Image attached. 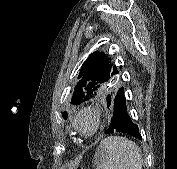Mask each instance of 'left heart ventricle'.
<instances>
[{
	"instance_id": "obj_1",
	"label": "left heart ventricle",
	"mask_w": 177,
	"mask_h": 169,
	"mask_svg": "<svg viewBox=\"0 0 177 169\" xmlns=\"http://www.w3.org/2000/svg\"><path fill=\"white\" fill-rule=\"evenodd\" d=\"M80 125H81L82 129L86 130V131L89 130L91 127L90 121L87 118L82 119L80 122Z\"/></svg>"
}]
</instances>
